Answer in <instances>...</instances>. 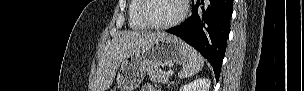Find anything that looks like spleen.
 I'll list each match as a JSON object with an SVG mask.
<instances>
[{
    "label": "spleen",
    "instance_id": "3e777b00",
    "mask_svg": "<svg viewBox=\"0 0 304 91\" xmlns=\"http://www.w3.org/2000/svg\"><path fill=\"white\" fill-rule=\"evenodd\" d=\"M188 50L189 60L185 65H183V68L179 73V78H187L193 76L194 74L198 73L204 65V58L200 53H198L194 48L190 46H188Z\"/></svg>",
    "mask_w": 304,
    "mask_h": 91
}]
</instances>
